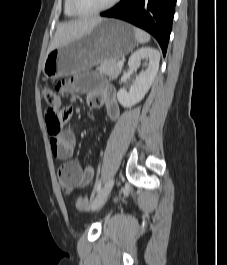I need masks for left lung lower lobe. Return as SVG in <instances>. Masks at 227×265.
<instances>
[{
    "instance_id": "left-lung-lower-lobe-1",
    "label": "left lung lower lobe",
    "mask_w": 227,
    "mask_h": 265,
    "mask_svg": "<svg viewBox=\"0 0 227 265\" xmlns=\"http://www.w3.org/2000/svg\"><path fill=\"white\" fill-rule=\"evenodd\" d=\"M175 4L176 0H121L101 16L125 20L146 30L157 39L165 55Z\"/></svg>"
}]
</instances>
